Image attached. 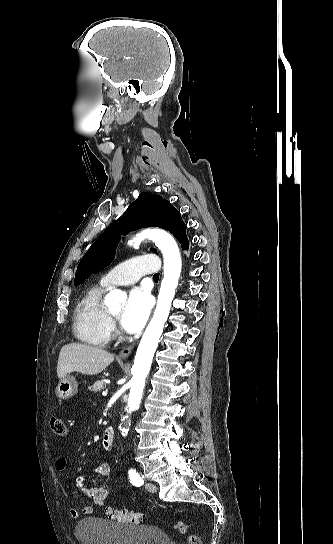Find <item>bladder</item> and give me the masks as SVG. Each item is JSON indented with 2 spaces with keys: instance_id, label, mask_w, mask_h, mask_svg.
I'll return each instance as SVG.
<instances>
[{
  "instance_id": "31cf9c89",
  "label": "bladder",
  "mask_w": 333,
  "mask_h": 544,
  "mask_svg": "<svg viewBox=\"0 0 333 544\" xmlns=\"http://www.w3.org/2000/svg\"><path fill=\"white\" fill-rule=\"evenodd\" d=\"M80 544H170L162 529L151 525H128L101 518L81 520L75 529Z\"/></svg>"
}]
</instances>
